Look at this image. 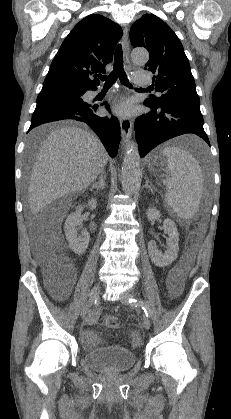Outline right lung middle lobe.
Listing matches in <instances>:
<instances>
[{
    "label": "right lung middle lobe",
    "instance_id": "obj_1",
    "mask_svg": "<svg viewBox=\"0 0 231 419\" xmlns=\"http://www.w3.org/2000/svg\"><path fill=\"white\" fill-rule=\"evenodd\" d=\"M84 90L63 85L43 87L37 97V103L52 100L81 101Z\"/></svg>",
    "mask_w": 231,
    "mask_h": 419
}]
</instances>
